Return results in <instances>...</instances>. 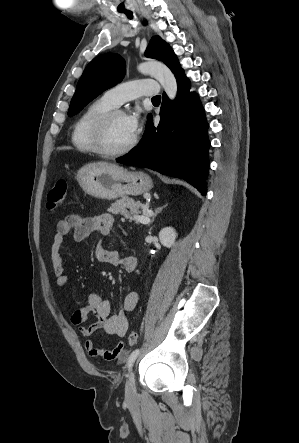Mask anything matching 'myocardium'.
I'll use <instances>...</instances> for the list:
<instances>
[{
	"label": "myocardium",
	"mask_w": 299,
	"mask_h": 443,
	"mask_svg": "<svg viewBox=\"0 0 299 443\" xmlns=\"http://www.w3.org/2000/svg\"><path fill=\"white\" fill-rule=\"evenodd\" d=\"M117 116H126V113L121 109H112L102 114L95 123L92 133V143L95 152L106 158H117L129 153L138 142V135L135 133L132 140L122 149L111 151L105 146V138L108 128L112 120Z\"/></svg>",
	"instance_id": "myocardium-1"
}]
</instances>
